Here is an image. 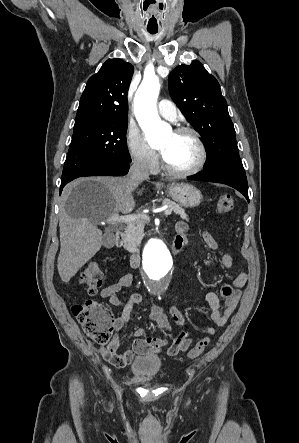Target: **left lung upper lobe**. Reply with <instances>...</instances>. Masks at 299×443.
I'll return each instance as SVG.
<instances>
[{
  "instance_id": "obj_1",
  "label": "left lung upper lobe",
  "mask_w": 299,
  "mask_h": 443,
  "mask_svg": "<svg viewBox=\"0 0 299 443\" xmlns=\"http://www.w3.org/2000/svg\"><path fill=\"white\" fill-rule=\"evenodd\" d=\"M169 92L188 122L205 142L204 169L243 168L235 129L216 78L199 61L177 66L169 75Z\"/></svg>"
}]
</instances>
